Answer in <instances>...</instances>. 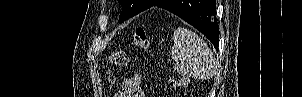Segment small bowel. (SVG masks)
Returning <instances> with one entry per match:
<instances>
[{
	"label": "small bowel",
	"mask_w": 302,
	"mask_h": 97,
	"mask_svg": "<svg viewBox=\"0 0 302 97\" xmlns=\"http://www.w3.org/2000/svg\"><path fill=\"white\" fill-rule=\"evenodd\" d=\"M115 97H146L142 87V77L140 74H134L125 78L121 91Z\"/></svg>",
	"instance_id": "1"
}]
</instances>
